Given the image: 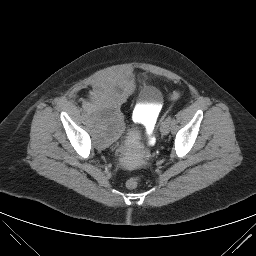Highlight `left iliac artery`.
Masks as SVG:
<instances>
[{
	"instance_id": "1",
	"label": "left iliac artery",
	"mask_w": 256,
	"mask_h": 256,
	"mask_svg": "<svg viewBox=\"0 0 256 256\" xmlns=\"http://www.w3.org/2000/svg\"><path fill=\"white\" fill-rule=\"evenodd\" d=\"M166 120L169 121V122H171L172 117H171V116H168V117L166 118Z\"/></svg>"
}]
</instances>
